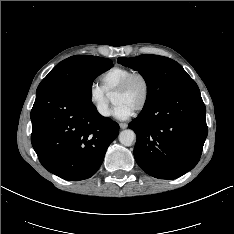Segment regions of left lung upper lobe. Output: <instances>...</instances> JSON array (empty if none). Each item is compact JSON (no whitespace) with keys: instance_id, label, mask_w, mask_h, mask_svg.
Wrapping results in <instances>:
<instances>
[{"instance_id":"5c2ea615","label":"left lung upper lobe","mask_w":234,"mask_h":234,"mask_svg":"<svg viewBox=\"0 0 234 234\" xmlns=\"http://www.w3.org/2000/svg\"><path fill=\"white\" fill-rule=\"evenodd\" d=\"M118 63L137 70L147 83V99L142 111L156 106L175 91L195 83L176 61L158 55L118 58Z\"/></svg>"}]
</instances>
